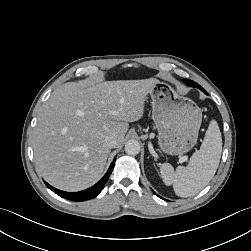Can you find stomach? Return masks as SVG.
Here are the masks:
<instances>
[{
	"mask_svg": "<svg viewBox=\"0 0 251 251\" xmlns=\"http://www.w3.org/2000/svg\"><path fill=\"white\" fill-rule=\"evenodd\" d=\"M148 94L160 149L169 155L190 151L197 142L202 122L201 109L165 82L157 81Z\"/></svg>",
	"mask_w": 251,
	"mask_h": 251,
	"instance_id": "stomach-1",
	"label": "stomach"
}]
</instances>
